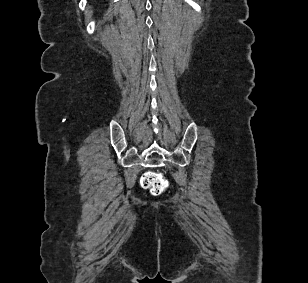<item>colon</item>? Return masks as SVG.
<instances>
[{
	"instance_id": "1",
	"label": "colon",
	"mask_w": 308,
	"mask_h": 283,
	"mask_svg": "<svg viewBox=\"0 0 308 283\" xmlns=\"http://www.w3.org/2000/svg\"><path fill=\"white\" fill-rule=\"evenodd\" d=\"M141 186L145 189H149L154 195L163 193L168 186V182L163 175L159 172L148 171L141 177Z\"/></svg>"
}]
</instances>
